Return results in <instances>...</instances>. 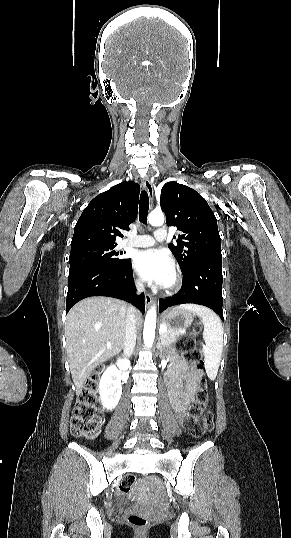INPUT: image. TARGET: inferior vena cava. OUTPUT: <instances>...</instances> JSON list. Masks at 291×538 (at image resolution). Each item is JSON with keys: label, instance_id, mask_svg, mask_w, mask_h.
Instances as JSON below:
<instances>
[{"label": "inferior vena cava", "instance_id": "602c4592", "mask_svg": "<svg viewBox=\"0 0 291 538\" xmlns=\"http://www.w3.org/2000/svg\"><path fill=\"white\" fill-rule=\"evenodd\" d=\"M136 286L138 293L144 291V285L142 282H136ZM136 338V310L133 306H130L127 314L124 340V354L126 357H130L133 354V350L136 345Z\"/></svg>", "mask_w": 291, "mask_h": 538}]
</instances>
